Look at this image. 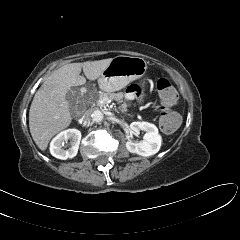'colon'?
<instances>
[{
	"instance_id": "obj_1",
	"label": "colon",
	"mask_w": 240,
	"mask_h": 240,
	"mask_svg": "<svg viewBox=\"0 0 240 240\" xmlns=\"http://www.w3.org/2000/svg\"><path fill=\"white\" fill-rule=\"evenodd\" d=\"M156 88L163 105L159 124L164 132L171 133L177 129L181 121L179 114L173 109L178 99L177 91L165 78L157 81Z\"/></svg>"
}]
</instances>
